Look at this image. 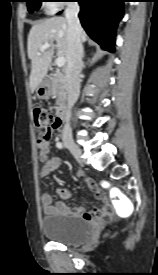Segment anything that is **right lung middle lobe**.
<instances>
[{
    "label": "right lung middle lobe",
    "mask_w": 158,
    "mask_h": 275,
    "mask_svg": "<svg viewBox=\"0 0 158 275\" xmlns=\"http://www.w3.org/2000/svg\"><path fill=\"white\" fill-rule=\"evenodd\" d=\"M29 12L38 10L41 6L42 0H26Z\"/></svg>",
    "instance_id": "1"
}]
</instances>
